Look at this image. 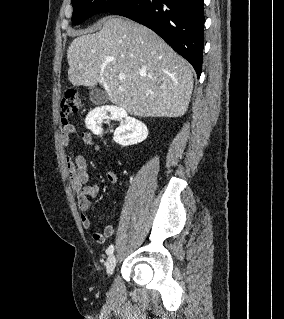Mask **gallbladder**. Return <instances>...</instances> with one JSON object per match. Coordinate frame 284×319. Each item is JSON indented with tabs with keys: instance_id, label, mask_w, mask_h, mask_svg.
I'll list each match as a JSON object with an SVG mask.
<instances>
[{
	"instance_id": "bac80fb5",
	"label": "gallbladder",
	"mask_w": 284,
	"mask_h": 319,
	"mask_svg": "<svg viewBox=\"0 0 284 319\" xmlns=\"http://www.w3.org/2000/svg\"><path fill=\"white\" fill-rule=\"evenodd\" d=\"M90 101L95 105H103L108 102V96L105 91L98 89H91Z\"/></svg>"
}]
</instances>
